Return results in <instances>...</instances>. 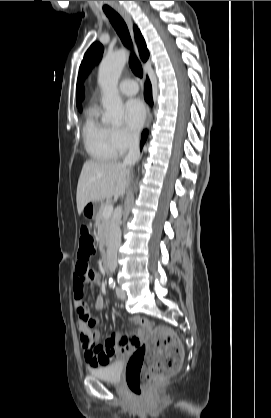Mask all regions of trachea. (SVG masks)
<instances>
[{"mask_svg": "<svg viewBox=\"0 0 271 418\" xmlns=\"http://www.w3.org/2000/svg\"><path fill=\"white\" fill-rule=\"evenodd\" d=\"M104 13L109 18L112 26L116 30L117 34L119 35L122 43L129 49H132V41L131 37L127 28L126 23L122 19V17L113 9H104ZM129 66L132 72L138 76L142 77L143 70L141 67L140 62L136 58L135 54L132 52L129 58Z\"/></svg>", "mask_w": 271, "mask_h": 418, "instance_id": "obj_1", "label": "trachea"}]
</instances>
